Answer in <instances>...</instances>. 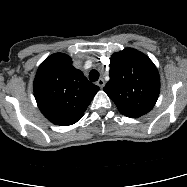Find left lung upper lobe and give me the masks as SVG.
Segmentation results:
<instances>
[{"instance_id":"obj_1","label":"left lung upper lobe","mask_w":187,"mask_h":187,"mask_svg":"<svg viewBox=\"0 0 187 187\" xmlns=\"http://www.w3.org/2000/svg\"><path fill=\"white\" fill-rule=\"evenodd\" d=\"M110 61V80L104 91L123 115L138 118L148 113L160 91L156 66L148 56L132 48L113 54Z\"/></svg>"}]
</instances>
